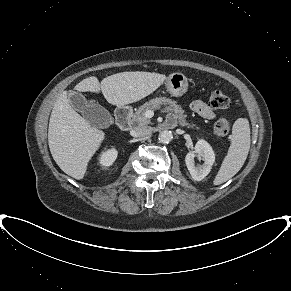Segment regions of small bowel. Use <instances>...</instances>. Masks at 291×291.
Instances as JSON below:
<instances>
[{
	"instance_id": "c3829d8e",
	"label": "small bowel",
	"mask_w": 291,
	"mask_h": 291,
	"mask_svg": "<svg viewBox=\"0 0 291 291\" xmlns=\"http://www.w3.org/2000/svg\"><path fill=\"white\" fill-rule=\"evenodd\" d=\"M190 108L193 112L208 120L214 119L216 116L213 109L202 100H194Z\"/></svg>"
}]
</instances>
